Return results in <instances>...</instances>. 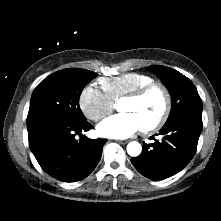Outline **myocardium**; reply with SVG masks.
I'll use <instances>...</instances> for the list:
<instances>
[{
    "mask_svg": "<svg viewBox=\"0 0 221 221\" xmlns=\"http://www.w3.org/2000/svg\"><path fill=\"white\" fill-rule=\"evenodd\" d=\"M154 91H158L161 93L163 97V109L161 115L154 122L142 127V130L145 133H151L160 129L168 121L172 109V98L169 90L166 88V86H164L161 83L152 82L133 92L126 94L121 99V100L137 101L145 98L147 95H149Z\"/></svg>",
    "mask_w": 221,
    "mask_h": 221,
    "instance_id": "1",
    "label": "myocardium"
}]
</instances>
